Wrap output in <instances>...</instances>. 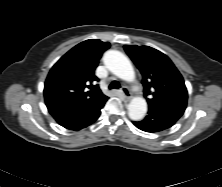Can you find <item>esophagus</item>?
Masks as SVG:
<instances>
[{
    "instance_id": "esophagus-1",
    "label": "esophagus",
    "mask_w": 222,
    "mask_h": 187,
    "mask_svg": "<svg viewBox=\"0 0 222 187\" xmlns=\"http://www.w3.org/2000/svg\"><path fill=\"white\" fill-rule=\"evenodd\" d=\"M122 94H123V98L125 100H130L131 99V93H130V91H129V89L127 87L124 86L122 88Z\"/></svg>"
}]
</instances>
